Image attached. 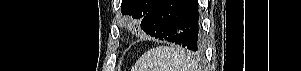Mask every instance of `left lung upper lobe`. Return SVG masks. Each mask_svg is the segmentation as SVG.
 Wrapping results in <instances>:
<instances>
[{
  "label": "left lung upper lobe",
  "mask_w": 301,
  "mask_h": 71,
  "mask_svg": "<svg viewBox=\"0 0 301 71\" xmlns=\"http://www.w3.org/2000/svg\"><path fill=\"white\" fill-rule=\"evenodd\" d=\"M158 0H122L121 11L134 19H142Z\"/></svg>",
  "instance_id": "obj_1"
}]
</instances>
